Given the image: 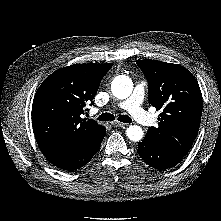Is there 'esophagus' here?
Returning <instances> with one entry per match:
<instances>
[{
	"mask_svg": "<svg viewBox=\"0 0 221 221\" xmlns=\"http://www.w3.org/2000/svg\"><path fill=\"white\" fill-rule=\"evenodd\" d=\"M112 125L114 126V127H118V128H122V127H126L128 124H126V123H122V122H119V121H114V122H112Z\"/></svg>",
	"mask_w": 221,
	"mask_h": 221,
	"instance_id": "1",
	"label": "esophagus"
}]
</instances>
